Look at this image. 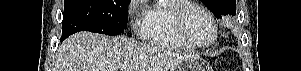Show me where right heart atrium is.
<instances>
[{"instance_id": "obj_1", "label": "right heart atrium", "mask_w": 301, "mask_h": 71, "mask_svg": "<svg viewBox=\"0 0 301 71\" xmlns=\"http://www.w3.org/2000/svg\"><path fill=\"white\" fill-rule=\"evenodd\" d=\"M142 0L131 1L128 7V16L134 28L140 26L144 20L145 12L140 9Z\"/></svg>"}]
</instances>
